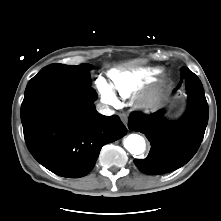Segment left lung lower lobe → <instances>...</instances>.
<instances>
[{
    "mask_svg": "<svg viewBox=\"0 0 221 221\" xmlns=\"http://www.w3.org/2000/svg\"><path fill=\"white\" fill-rule=\"evenodd\" d=\"M186 81L188 109L178 122H168L163 111L150 115L133 113L128 122L132 131L144 133L151 149L144 160L135 159L138 169L149 175H160L186 164L197 152L208 123V104L199 78L187 67L180 69Z\"/></svg>",
    "mask_w": 221,
    "mask_h": 221,
    "instance_id": "0a47b994",
    "label": "left lung lower lobe"
}]
</instances>
